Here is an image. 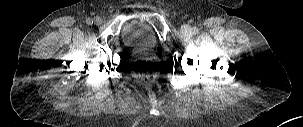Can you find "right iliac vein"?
Returning a JSON list of instances; mask_svg holds the SVG:
<instances>
[{
    "mask_svg": "<svg viewBox=\"0 0 303 127\" xmlns=\"http://www.w3.org/2000/svg\"><path fill=\"white\" fill-rule=\"evenodd\" d=\"M93 21H94V23H95L96 25H101V24H102V19H101V17H99V16L95 17V18L93 19Z\"/></svg>",
    "mask_w": 303,
    "mask_h": 127,
    "instance_id": "63e3f726",
    "label": "right iliac vein"
}]
</instances>
